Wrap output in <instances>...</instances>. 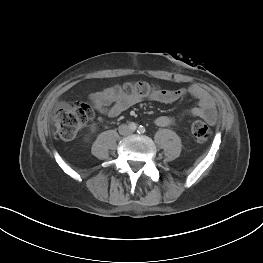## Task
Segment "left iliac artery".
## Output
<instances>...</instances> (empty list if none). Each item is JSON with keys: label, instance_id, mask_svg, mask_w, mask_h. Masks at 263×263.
Segmentation results:
<instances>
[{"label": "left iliac artery", "instance_id": "left-iliac-artery-1", "mask_svg": "<svg viewBox=\"0 0 263 263\" xmlns=\"http://www.w3.org/2000/svg\"><path fill=\"white\" fill-rule=\"evenodd\" d=\"M145 131H146V130H145V127H143V126H139V127H138L137 132H138L139 134H143Z\"/></svg>", "mask_w": 263, "mask_h": 263}]
</instances>
